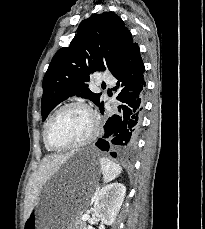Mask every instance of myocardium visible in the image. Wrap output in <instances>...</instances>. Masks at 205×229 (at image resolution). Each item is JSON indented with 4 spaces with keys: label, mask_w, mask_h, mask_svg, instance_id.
<instances>
[{
    "label": "myocardium",
    "mask_w": 205,
    "mask_h": 229,
    "mask_svg": "<svg viewBox=\"0 0 205 229\" xmlns=\"http://www.w3.org/2000/svg\"><path fill=\"white\" fill-rule=\"evenodd\" d=\"M72 107L81 108V109L85 110L91 116V118H92V129H91L89 135L81 141H78V142L72 143V144H68V145L57 146V145L53 144L51 139H50L51 129H52L55 121L57 120L58 116L63 111H65L66 109L72 108ZM99 126H100L99 118L90 106H88L86 103L81 102V101L68 102V103H65L64 105L60 106L51 116V118L47 124L46 130H45V142L50 149L55 150V151H62V150L79 148V147H82V146L89 144L91 141L94 140V138L97 136V134L99 132Z\"/></svg>",
    "instance_id": "f54148a6"
}]
</instances>
